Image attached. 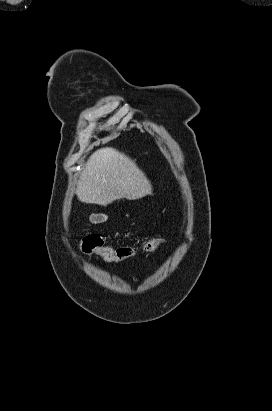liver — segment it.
<instances>
[{
	"instance_id": "6515ba94",
	"label": "liver",
	"mask_w": 272,
	"mask_h": 411,
	"mask_svg": "<svg viewBox=\"0 0 272 411\" xmlns=\"http://www.w3.org/2000/svg\"><path fill=\"white\" fill-rule=\"evenodd\" d=\"M76 194L81 202L107 206L122 198L136 200L151 195L152 185L134 160L106 147L89 158Z\"/></svg>"
}]
</instances>
